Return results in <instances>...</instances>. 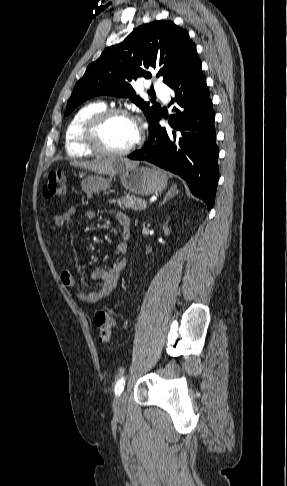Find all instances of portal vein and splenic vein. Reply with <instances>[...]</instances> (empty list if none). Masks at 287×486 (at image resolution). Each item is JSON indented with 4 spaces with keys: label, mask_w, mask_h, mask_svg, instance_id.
<instances>
[{
    "label": "portal vein and splenic vein",
    "mask_w": 287,
    "mask_h": 486,
    "mask_svg": "<svg viewBox=\"0 0 287 486\" xmlns=\"http://www.w3.org/2000/svg\"><path fill=\"white\" fill-rule=\"evenodd\" d=\"M146 207H147V205H146V203H145V204L143 205V208H146Z\"/></svg>",
    "instance_id": "obj_1"
}]
</instances>
